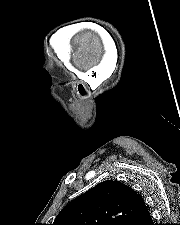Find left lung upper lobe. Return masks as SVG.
<instances>
[{"mask_svg": "<svg viewBox=\"0 0 180 225\" xmlns=\"http://www.w3.org/2000/svg\"><path fill=\"white\" fill-rule=\"evenodd\" d=\"M146 208L132 188L107 180L67 204L52 225H127Z\"/></svg>", "mask_w": 180, "mask_h": 225, "instance_id": "left-lung-upper-lobe-1", "label": "left lung upper lobe"}]
</instances>
